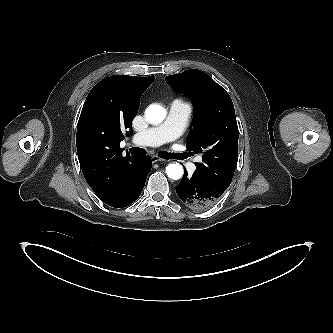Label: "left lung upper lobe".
Listing matches in <instances>:
<instances>
[{
    "label": "left lung upper lobe",
    "instance_id": "obj_1",
    "mask_svg": "<svg viewBox=\"0 0 333 333\" xmlns=\"http://www.w3.org/2000/svg\"><path fill=\"white\" fill-rule=\"evenodd\" d=\"M176 91L188 95L195 103L193 129L186 147L193 154L202 153L195 172L226 190L237 164L238 126L229 94L201 70L166 77Z\"/></svg>",
    "mask_w": 333,
    "mask_h": 333
}]
</instances>
